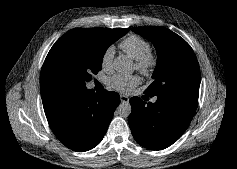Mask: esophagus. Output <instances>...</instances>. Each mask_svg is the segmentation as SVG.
Wrapping results in <instances>:
<instances>
[{"label": "esophagus", "instance_id": "obj_1", "mask_svg": "<svg viewBox=\"0 0 237 169\" xmlns=\"http://www.w3.org/2000/svg\"><path fill=\"white\" fill-rule=\"evenodd\" d=\"M120 100H121V102L128 103L129 97L125 96V95H120Z\"/></svg>", "mask_w": 237, "mask_h": 169}]
</instances>
